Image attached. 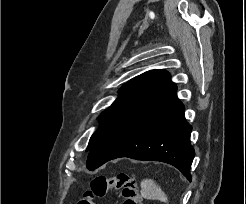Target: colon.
I'll return each mask as SVG.
<instances>
[{
	"mask_svg": "<svg viewBox=\"0 0 246 204\" xmlns=\"http://www.w3.org/2000/svg\"><path fill=\"white\" fill-rule=\"evenodd\" d=\"M109 190L119 192L122 204H141V195L137 181L128 174H119L106 178L99 176L90 182V187L79 198L77 204H95L96 197H103Z\"/></svg>",
	"mask_w": 246,
	"mask_h": 204,
	"instance_id": "1",
	"label": "colon"
}]
</instances>
